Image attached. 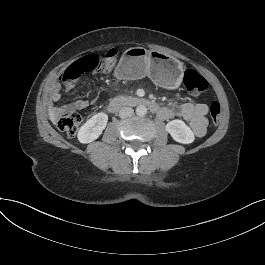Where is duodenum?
Masks as SVG:
<instances>
[{
    "label": "duodenum",
    "instance_id": "410a0bca",
    "mask_svg": "<svg viewBox=\"0 0 265 265\" xmlns=\"http://www.w3.org/2000/svg\"><path fill=\"white\" fill-rule=\"evenodd\" d=\"M125 106H145L159 117L164 114V108L160 106L157 102L146 98L134 96H119L113 98L108 104V110L110 112H116L120 108Z\"/></svg>",
    "mask_w": 265,
    "mask_h": 265
}]
</instances>
